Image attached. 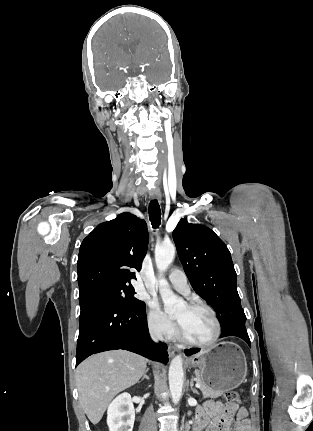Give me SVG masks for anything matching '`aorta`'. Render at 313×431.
Here are the masks:
<instances>
[{"label":"aorta","instance_id":"762f6f07","mask_svg":"<svg viewBox=\"0 0 313 431\" xmlns=\"http://www.w3.org/2000/svg\"><path fill=\"white\" fill-rule=\"evenodd\" d=\"M174 256L175 247L173 244L162 245L156 248L155 262L161 274L167 270ZM158 286L165 311L168 313L174 312L182 301L173 293L165 278L160 277ZM183 376V361L181 356L178 355L173 358L169 367V386L174 404L179 402L182 395Z\"/></svg>","mask_w":313,"mask_h":431}]
</instances>
